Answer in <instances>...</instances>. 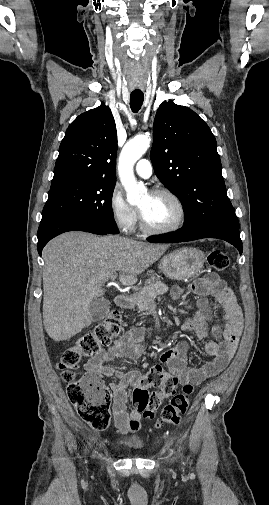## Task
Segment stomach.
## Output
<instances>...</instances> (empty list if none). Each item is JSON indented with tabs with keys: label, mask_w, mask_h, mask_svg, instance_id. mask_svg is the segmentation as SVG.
I'll return each instance as SVG.
<instances>
[{
	"label": "stomach",
	"mask_w": 269,
	"mask_h": 505,
	"mask_svg": "<svg viewBox=\"0 0 269 505\" xmlns=\"http://www.w3.org/2000/svg\"><path fill=\"white\" fill-rule=\"evenodd\" d=\"M205 254L196 248H182L164 256L159 264L163 274L173 280H185L194 277L202 269ZM154 278L147 280V284Z\"/></svg>",
	"instance_id": "stomach-1"
}]
</instances>
